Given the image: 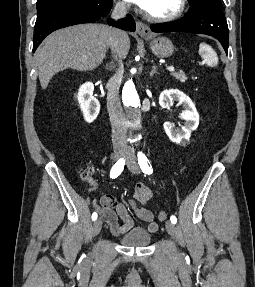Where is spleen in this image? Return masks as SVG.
<instances>
[{
    "instance_id": "spleen-1",
    "label": "spleen",
    "mask_w": 255,
    "mask_h": 287,
    "mask_svg": "<svg viewBox=\"0 0 255 287\" xmlns=\"http://www.w3.org/2000/svg\"><path fill=\"white\" fill-rule=\"evenodd\" d=\"M199 54L204 58L207 66H211V68H213V66H217L218 56L211 46H208V44H200Z\"/></svg>"
}]
</instances>
